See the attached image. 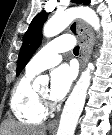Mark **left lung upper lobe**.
<instances>
[{"label": "left lung upper lobe", "mask_w": 112, "mask_h": 135, "mask_svg": "<svg viewBox=\"0 0 112 135\" xmlns=\"http://www.w3.org/2000/svg\"><path fill=\"white\" fill-rule=\"evenodd\" d=\"M73 2L88 5L90 3V0H73ZM47 17L48 14L46 12H41L36 15L30 23L28 30L24 34L23 44L18 57L16 76L20 74V72L30 60L33 53L41 44L42 26L46 21Z\"/></svg>", "instance_id": "5c2ea615"}]
</instances>
